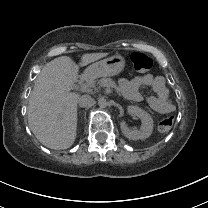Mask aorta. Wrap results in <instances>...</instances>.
Segmentation results:
<instances>
[{"label":"aorta","instance_id":"aorta-1","mask_svg":"<svg viewBox=\"0 0 208 208\" xmlns=\"http://www.w3.org/2000/svg\"><path fill=\"white\" fill-rule=\"evenodd\" d=\"M98 104L100 107H105L106 106V101L104 98H99L98 99Z\"/></svg>","mask_w":208,"mask_h":208}]
</instances>
